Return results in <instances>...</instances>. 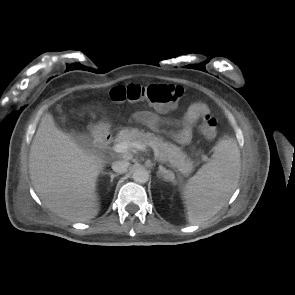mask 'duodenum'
I'll list each match as a JSON object with an SVG mask.
<instances>
[{
	"label": "duodenum",
	"mask_w": 295,
	"mask_h": 295,
	"mask_svg": "<svg viewBox=\"0 0 295 295\" xmlns=\"http://www.w3.org/2000/svg\"><path fill=\"white\" fill-rule=\"evenodd\" d=\"M111 141V135L106 131H100L95 136V145L99 149H105Z\"/></svg>",
	"instance_id": "obj_1"
}]
</instances>
